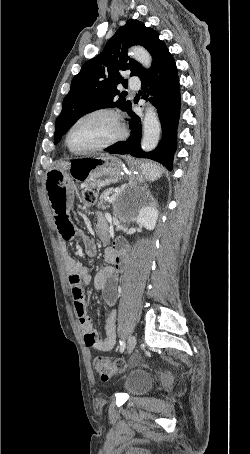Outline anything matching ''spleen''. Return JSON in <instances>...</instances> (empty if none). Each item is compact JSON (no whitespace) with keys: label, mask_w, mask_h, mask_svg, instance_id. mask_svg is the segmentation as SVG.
<instances>
[{"label":"spleen","mask_w":250,"mask_h":454,"mask_svg":"<svg viewBox=\"0 0 250 454\" xmlns=\"http://www.w3.org/2000/svg\"><path fill=\"white\" fill-rule=\"evenodd\" d=\"M140 168L142 174L149 181H154L158 179L162 174V168L158 164L152 162L142 163Z\"/></svg>","instance_id":"spleen-1"}]
</instances>
